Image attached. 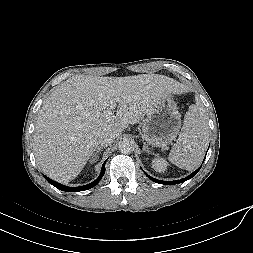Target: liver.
<instances>
[{
  "mask_svg": "<svg viewBox=\"0 0 253 253\" xmlns=\"http://www.w3.org/2000/svg\"><path fill=\"white\" fill-rule=\"evenodd\" d=\"M180 92L178 81L159 74L69 78L39 111L34 131L39 167L59 182L73 180L97 148L101 131L117 137L129 124L141 121L161 98ZM116 107V115L107 116Z\"/></svg>",
  "mask_w": 253,
  "mask_h": 253,
  "instance_id": "1",
  "label": "liver"
}]
</instances>
